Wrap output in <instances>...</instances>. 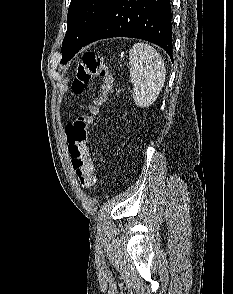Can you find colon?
<instances>
[{
	"label": "colon",
	"mask_w": 233,
	"mask_h": 294,
	"mask_svg": "<svg viewBox=\"0 0 233 294\" xmlns=\"http://www.w3.org/2000/svg\"><path fill=\"white\" fill-rule=\"evenodd\" d=\"M93 78L102 80L100 93L93 100L88 113L75 116L66 128L72 167L79 178V183L86 189L92 188L96 183L88 145L89 127L93 116L106 102L114 87V78L103 57L96 52L87 51L82 55L76 68V75L72 83L73 94H81Z\"/></svg>",
	"instance_id": "colon-1"
}]
</instances>
